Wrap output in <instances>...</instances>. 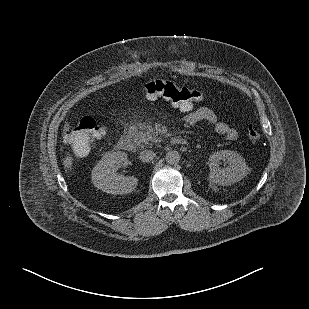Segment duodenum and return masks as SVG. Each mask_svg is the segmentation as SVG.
I'll return each instance as SVG.
<instances>
[{"instance_id": "obj_1", "label": "duodenum", "mask_w": 309, "mask_h": 309, "mask_svg": "<svg viewBox=\"0 0 309 309\" xmlns=\"http://www.w3.org/2000/svg\"><path fill=\"white\" fill-rule=\"evenodd\" d=\"M174 142L182 145L187 144V140L180 137H175ZM118 147L122 150L133 151L135 149V143L128 137H122L118 141Z\"/></svg>"}]
</instances>
